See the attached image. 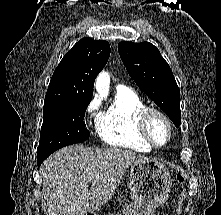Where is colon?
Listing matches in <instances>:
<instances>
[{"mask_svg": "<svg viewBox=\"0 0 221 215\" xmlns=\"http://www.w3.org/2000/svg\"><path fill=\"white\" fill-rule=\"evenodd\" d=\"M177 179H178L179 182H183V180H184L181 175H178Z\"/></svg>", "mask_w": 221, "mask_h": 215, "instance_id": "1", "label": "colon"}]
</instances>
